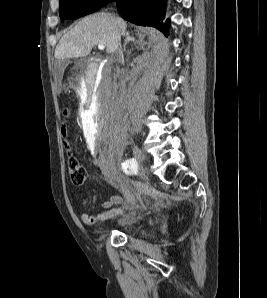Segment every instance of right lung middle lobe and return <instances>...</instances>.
Masks as SVG:
<instances>
[{
  "mask_svg": "<svg viewBox=\"0 0 267 298\" xmlns=\"http://www.w3.org/2000/svg\"><path fill=\"white\" fill-rule=\"evenodd\" d=\"M107 0H60L61 19H77L98 11Z\"/></svg>",
  "mask_w": 267,
  "mask_h": 298,
  "instance_id": "dd1d6c3e",
  "label": "right lung middle lobe"
}]
</instances>
